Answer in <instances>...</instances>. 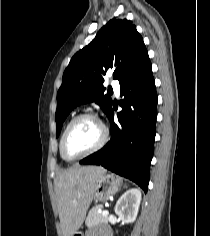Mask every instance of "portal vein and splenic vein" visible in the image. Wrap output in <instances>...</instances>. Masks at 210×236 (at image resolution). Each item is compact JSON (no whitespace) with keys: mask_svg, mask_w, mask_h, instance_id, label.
I'll return each instance as SVG.
<instances>
[{"mask_svg":"<svg viewBox=\"0 0 210 236\" xmlns=\"http://www.w3.org/2000/svg\"><path fill=\"white\" fill-rule=\"evenodd\" d=\"M99 211H101V210H99ZM109 214V211L108 210H103L102 211V215L103 216H107Z\"/></svg>","mask_w":210,"mask_h":236,"instance_id":"obj_1","label":"portal vein and splenic vein"}]
</instances>
